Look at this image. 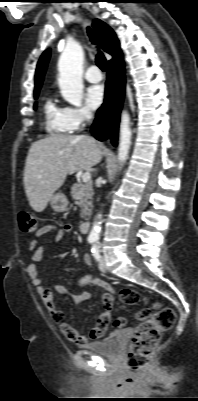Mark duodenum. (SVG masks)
<instances>
[{
  "mask_svg": "<svg viewBox=\"0 0 198 401\" xmlns=\"http://www.w3.org/2000/svg\"><path fill=\"white\" fill-rule=\"evenodd\" d=\"M90 224H91V220L87 219L85 221H83L80 225V231L82 233H87L89 231L90 228Z\"/></svg>",
  "mask_w": 198,
  "mask_h": 401,
  "instance_id": "obj_1",
  "label": "duodenum"
}]
</instances>
